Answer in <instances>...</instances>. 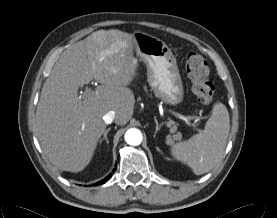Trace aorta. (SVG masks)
<instances>
[{
  "instance_id": "obj_1",
  "label": "aorta",
  "mask_w": 277,
  "mask_h": 218,
  "mask_svg": "<svg viewBox=\"0 0 277 218\" xmlns=\"http://www.w3.org/2000/svg\"><path fill=\"white\" fill-rule=\"evenodd\" d=\"M142 133L139 129L131 128L128 129L125 133V141L131 146L140 145L142 142Z\"/></svg>"
}]
</instances>
